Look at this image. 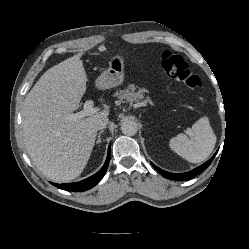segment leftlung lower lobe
Here are the masks:
<instances>
[{"mask_svg": "<svg viewBox=\"0 0 249 249\" xmlns=\"http://www.w3.org/2000/svg\"><path fill=\"white\" fill-rule=\"evenodd\" d=\"M216 153L207 162H205L204 164L200 165L199 167H197L189 172H186V173H177V174L170 173V172H166V171L158 168L154 164H152V165L160 174H162L166 178L173 179V180H189V179L193 178L194 176L198 175L199 173H201L203 170H205L211 164Z\"/></svg>", "mask_w": 249, "mask_h": 249, "instance_id": "obj_1", "label": "left lung lower lobe"}]
</instances>
